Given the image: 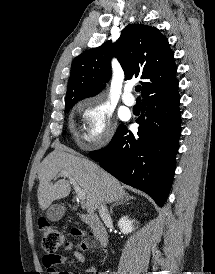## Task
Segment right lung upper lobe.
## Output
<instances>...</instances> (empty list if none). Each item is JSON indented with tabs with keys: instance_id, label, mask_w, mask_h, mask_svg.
<instances>
[{
	"instance_id": "1",
	"label": "right lung upper lobe",
	"mask_w": 215,
	"mask_h": 274,
	"mask_svg": "<svg viewBox=\"0 0 215 274\" xmlns=\"http://www.w3.org/2000/svg\"><path fill=\"white\" fill-rule=\"evenodd\" d=\"M112 55L120 62L125 80L141 79L143 98L178 85L174 53L167 38L155 27L130 24L116 43L107 41L73 60L65 106L75 105L102 89L111 74Z\"/></svg>"
}]
</instances>
